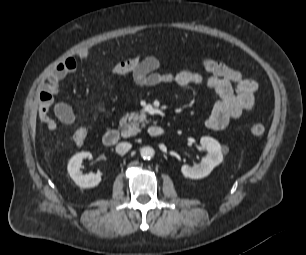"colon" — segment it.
Wrapping results in <instances>:
<instances>
[{
  "instance_id": "colon-1",
  "label": "colon",
  "mask_w": 306,
  "mask_h": 255,
  "mask_svg": "<svg viewBox=\"0 0 306 255\" xmlns=\"http://www.w3.org/2000/svg\"><path fill=\"white\" fill-rule=\"evenodd\" d=\"M142 59L143 58L141 57L122 59L114 64V66L112 67V71L117 75L130 74L135 68L139 66ZM264 132H265V127L260 123L253 124L250 127V133L255 137L262 136ZM88 134H89L88 128L83 127L78 129L73 135L74 143L78 146H81L87 139Z\"/></svg>"
}]
</instances>
